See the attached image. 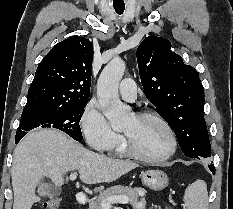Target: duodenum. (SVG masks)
<instances>
[{
	"label": "duodenum",
	"mask_w": 233,
	"mask_h": 209,
	"mask_svg": "<svg viewBox=\"0 0 233 209\" xmlns=\"http://www.w3.org/2000/svg\"><path fill=\"white\" fill-rule=\"evenodd\" d=\"M76 202L79 205H85L87 203V197L84 193H78L76 195Z\"/></svg>",
	"instance_id": "410a0bca"
}]
</instances>
